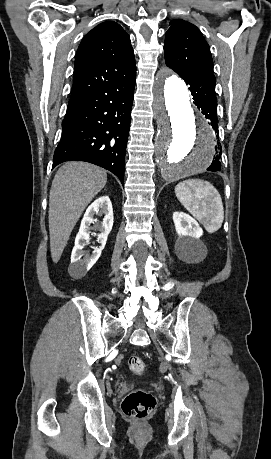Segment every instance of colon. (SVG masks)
Segmentation results:
<instances>
[{"label":"colon","mask_w":271,"mask_h":459,"mask_svg":"<svg viewBox=\"0 0 271 459\" xmlns=\"http://www.w3.org/2000/svg\"><path fill=\"white\" fill-rule=\"evenodd\" d=\"M128 367L135 375H142L145 372V363L139 356L133 355L128 359ZM155 397L142 389H135L124 398L121 408L123 414L135 420L148 417L155 409Z\"/></svg>","instance_id":"1"}]
</instances>
